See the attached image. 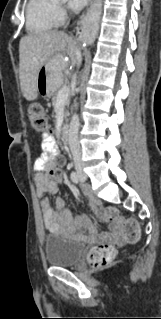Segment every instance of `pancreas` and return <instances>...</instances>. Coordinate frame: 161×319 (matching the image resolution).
<instances>
[{
	"label": "pancreas",
	"mask_w": 161,
	"mask_h": 319,
	"mask_svg": "<svg viewBox=\"0 0 161 319\" xmlns=\"http://www.w3.org/2000/svg\"><path fill=\"white\" fill-rule=\"evenodd\" d=\"M59 90H60V88H58V89L56 90V92L52 95V102H53V104H55L56 101H57V99H58V98H57V95H58ZM68 106H69V98L67 97L66 100H65V107H68ZM67 116H68V111H65L64 117L67 118Z\"/></svg>",
	"instance_id": "pancreas-1"
}]
</instances>
